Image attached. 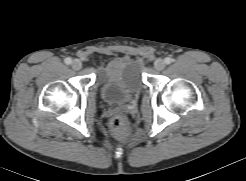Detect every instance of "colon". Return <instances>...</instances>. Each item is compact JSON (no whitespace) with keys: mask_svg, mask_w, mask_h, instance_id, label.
<instances>
[{"mask_svg":"<svg viewBox=\"0 0 246 181\" xmlns=\"http://www.w3.org/2000/svg\"><path fill=\"white\" fill-rule=\"evenodd\" d=\"M110 129L115 135L124 137L129 133L130 124L125 116L116 115L110 121Z\"/></svg>","mask_w":246,"mask_h":181,"instance_id":"5ec220e1","label":"colon"}]
</instances>
